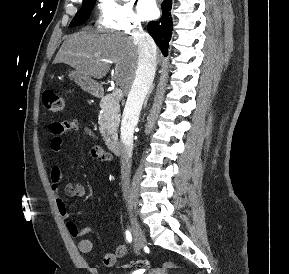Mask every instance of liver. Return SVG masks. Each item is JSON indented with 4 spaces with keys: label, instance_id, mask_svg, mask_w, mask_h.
Listing matches in <instances>:
<instances>
[{
    "label": "liver",
    "instance_id": "1",
    "mask_svg": "<svg viewBox=\"0 0 289 274\" xmlns=\"http://www.w3.org/2000/svg\"><path fill=\"white\" fill-rule=\"evenodd\" d=\"M138 46L133 37L119 33L81 31L66 37L53 63H65L75 70L93 77L103 78L115 64L114 80L128 94L137 70ZM163 56L156 51V65Z\"/></svg>",
    "mask_w": 289,
    "mask_h": 274
}]
</instances>
